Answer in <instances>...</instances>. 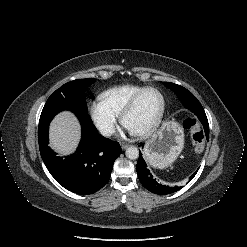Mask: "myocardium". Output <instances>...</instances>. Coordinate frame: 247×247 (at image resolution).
<instances>
[{"mask_svg": "<svg viewBox=\"0 0 247 247\" xmlns=\"http://www.w3.org/2000/svg\"><path fill=\"white\" fill-rule=\"evenodd\" d=\"M148 91H155L160 95V97H161V110H160L157 118L147 128H145L141 131H137V132L131 131L133 135H135L137 137H141V138L149 136L160 126V124L164 118V114H165V110H166V99H165L164 94L156 87H145L144 89H142L141 91H139L137 94H135L133 96V98L128 102V104L125 106V108L123 109V111L121 113V123L123 126L126 127V118L134 110V108L136 107V105H137L139 99L142 97V95Z\"/></svg>", "mask_w": 247, "mask_h": 247, "instance_id": "f54148a6", "label": "myocardium"}]
</instances>
